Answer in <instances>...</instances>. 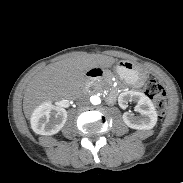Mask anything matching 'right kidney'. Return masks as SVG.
I'll return each instance as SVG.
<instances>
[{
    "mask_svg": "<svg viewBox=\"0 0 183 183\" xmlns=\"http://www.w3.org/2000/svg\"><path fill=\"white\" fill-rule=\"evenodd\" d=\"M67 120V111L54 106L50 102L39 105L32 113L30 122L33 131L40 135H54L58 133Z\"/></svg>",
    "mask_w": 183,
    "mask_h": 183,
    "instance_id": "1",
    "label": "right kidney"
}]
</instances>
